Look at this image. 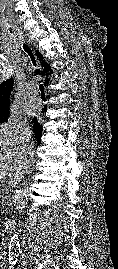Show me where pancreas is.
I'll return each mask as SVG.
<instances>
[{"label":"pancreas","instance_id":"obj_1","mask_svg":"<svg viewBox=\"0 0 118 269\" xmlns=\"http://www.w3.org/2000/svg\"><path fill=\"white\" fill-rule=\"evenodd\" d=\"M0 194H1V192H0ZM0 196H1V195H0ZM7 203H8V205H9V204H10V201L8 200Z\"/></svg>","mask_w":118,"mask_h":269}]
</instances>
